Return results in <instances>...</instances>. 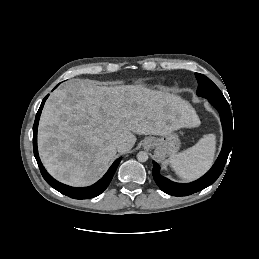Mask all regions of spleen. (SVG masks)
I'll return each mask as SVG.
<instances>
[{
  "instance_id": "3e777b00",
  "label": "spleen",
  "mask_w": 259,
  "mask_h": 259,
  "mask_svg": "<svg viewBox=\"0 0 259 259\" xmlns=\"http://www.w3.org/2000/svg\"><path fill=\"white\" fill-rule=\"evenodd\" d=\"M216 149V136L207 134L194 146L169 157L173 170L185 180H193L204 174L212 165Z\"/></svg>"
}]
</instances>
